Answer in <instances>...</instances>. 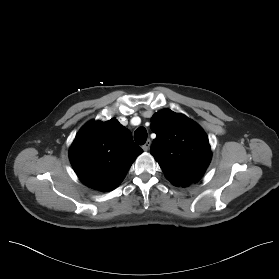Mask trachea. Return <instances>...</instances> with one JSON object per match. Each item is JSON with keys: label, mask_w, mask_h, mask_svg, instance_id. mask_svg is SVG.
I'll list each match as a JSON object with an SVG mask.
<instances>
[{"label": "trachea", "mask_w": 279, "mask_h": 279, "mask_svg": "<svg viewBox=\"0 0 279 279\" xmlns=\"http://www.w3.org/2000/svg\"><path fill=\"white\" fill-rule=\"evenodd\" d=\"M134 139L137 144L143 145L147 140V131L145 128L140 127L134 133Z\"/></svg>", "instance_id": "obj_1"}]
</instances>
